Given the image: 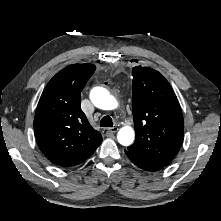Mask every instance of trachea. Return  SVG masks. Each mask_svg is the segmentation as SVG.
I'll return each instance as SVG.
<instances>
[{
	"mask_svg": "<svg viewBox=\"0 0 221 221\" xmlns=\"http://www.w3.org/2000/svg\"><path fill=\"white\" fill-rule=\"evenodd\" d=\"M100 126L101 127H112L113 126L112 118L110 116H104L100 121Z\"/></svg>",
	"mask_w": 221,
	"mask_h": 221,
	"instance_id": "obj_1",
	"label": "trachea"
}]
</instances>
